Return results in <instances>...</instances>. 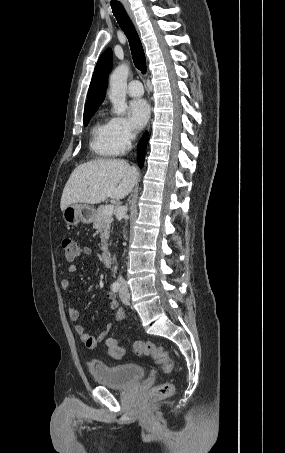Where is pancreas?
<instances>
[{"label":"pancreas","mask_w":285,"mask_h":453,"mask_svg":"<svg viewBox=\"0 0 285 453\" xmlns=\"http://www.w3.org/2000/svg\"><path fill=\"white\" fill-rule=\"evenodd\" d=\"M105 206H100L97 211L95 212L94 219H93V228L99 230L100 238H101V245L102 251L106 252L107 241L110 236V226L113 220L112 214L106 215L103 213V209Z\"/></svg>","instance_id":"obj_1"}]
</instances>
